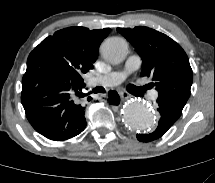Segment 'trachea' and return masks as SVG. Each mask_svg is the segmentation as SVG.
I'll list each match as a JSON object with an SVG mask.
<instances>
[{"label":"trachea","mask_w":215,"mask_h":183,"mask_svg":"<svg viewBox=\"0 0 215 183\" xmlns=\"http://www.w3.org/2000/svg\"><path fill=\"white\" fill-rule=\"evenodd\" d=\"M128 87H133V86L129 85ZM136 89H138L139 92H144L147 89V87L144 86V87H140V88H136Z\"/></svg>","instance_id":"obj_1"}]
</instances>
